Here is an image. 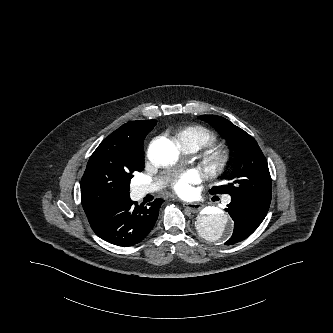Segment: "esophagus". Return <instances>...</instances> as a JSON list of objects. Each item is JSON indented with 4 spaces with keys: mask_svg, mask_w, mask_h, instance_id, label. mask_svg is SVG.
Here are the masks:
<instances>
[{
    "mask_svg": "<svg viewBox=\"0 0 333 333\" xmlns=\"http://www.w3.org/2000/svg\"><path fill=\"white\" fill-rule=\"evenodd\" d=\"M182 205L191 213H198L202 208V205L200 203L183 202Z\"/></svg>",
    "mask_w": 333,
    "mask_h": 333,
    "instance_id": "34e87169",
    "label": "esophagus"
}]
</instances>
